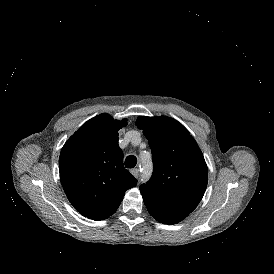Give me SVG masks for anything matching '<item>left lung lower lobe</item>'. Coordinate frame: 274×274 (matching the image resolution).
I'll list each match as a JSON object with an SVG mask.
<instances>
[{
    "mask_svg": "<svg viewBox=\"0 0 274 274\" xmlns=\"http://www.w3.org/2000/svg\"><path fill=\"white\" fill-rule=\"evenodd\" d=\"M142 197L149 213L161 223L175 224L189 215L188 212L172 208L148 195Z\"/></svg>",
    "mask_w": 274,
    "mask_h": 274,
    "instance_id": "1",
    "label": "left lung lower lobe"
}]
</instances>
